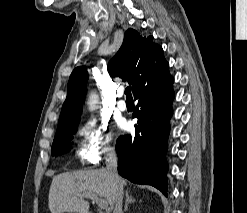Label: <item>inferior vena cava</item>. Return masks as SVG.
<instances>
[{
    "instance_id": "obj_1",
    "label": "inferior vena cava",
    "mask_w": 247,
    "mask_h": 213,
    "mask_svg": "<svg viewBox=\"0 0 247 213\" xmlns=\"http://www.w3.org/2000/svg\"><path fill=\"white\" fill-rule=\"evenodd\" d=\"M106 170L110 178L115 182L114 211L113 213H122L123 188L119 181L117 172V154L114 148H109L106 156Z\"/></svg>"
}]
</instances>
